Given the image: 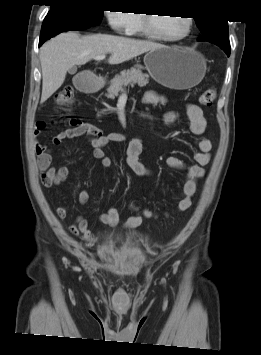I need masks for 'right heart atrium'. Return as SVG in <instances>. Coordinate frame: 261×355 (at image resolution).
<instances>
[{
    "label": "right heart atrium",
    "mask_w": 261,
    "mask_h": 355,
    "mask_svg": "<svg viewBox=\"0 0 261 355\" xmlns=\"http://www.w3.org/2000/svg\"><path fill=\"white\" fill-rule=\"evenodd\" d=\"M107 20L112 29L121 34H129L135 22V14L129 10L108 11Z\"/></svg>",
    "instance_id": "right-heart-atrium-1"
}]
</instances>
